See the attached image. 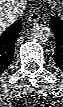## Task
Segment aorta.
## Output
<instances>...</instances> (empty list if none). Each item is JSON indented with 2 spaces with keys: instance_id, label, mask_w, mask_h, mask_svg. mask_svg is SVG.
I'll list each match as a JSON object with an SVG mask.
<instances>
[{
  "instance_id": "aorta-1",
  "label": "aorta",
  "mask_w": 63,
  "mask_h": 107,
  "mask_svg": "<svg viewBox=\"0 0 63 107\" xmlns=\"http://www.w3.org/2000/svg\"><path fill=\"white\" fill-rule=\"evenodd\" d=\"M52 35L51 29L44 24H35L32 27L31 36L34 40L38 42H46L50 39Z\"/></svg>"
}]
</instances>
